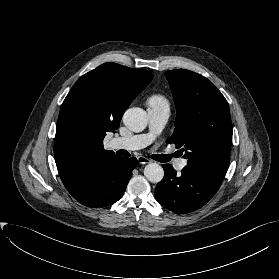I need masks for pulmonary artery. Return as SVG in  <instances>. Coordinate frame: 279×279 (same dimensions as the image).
<instances>
[{"instance_id":"pulmonary-artery-1","label":"pulmonary artery","mask_w":279,"mask_h":279,"mask_svg":"<svg viewBox=\"0 0 279 279\" xmlns=\"http://www.w3.org/2000/svg\"><path fill=\"white\" fill-rule=\"evenodd\" d=\"M147 113L150 128L149 133L114 138L111 142L112 147L134 151L149 145L166 125L169 118V109L167 107H150ZM185 166L186 160L184 159H176L174 161V167L178 171H181Z\"/></svg>"}]
</instances>
